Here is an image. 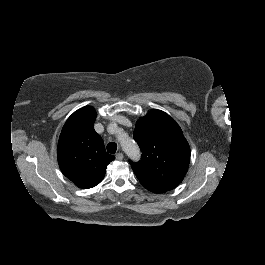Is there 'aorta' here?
I'll list each match as a JSON object with an SVG mask.
<instances>
[{
    "mask_svg": "<svg viewBox=\"0 0 265 265\" xmlns=\"http://www.w3.org/2000/svg\"><path fill=\"white\" fill-rule=\"evenodd\" d=\"M120 144L123 152L130 158L131 161L138 162L141 159V150L131 137H126L120 142Z\"/></svg>",
    "mask_w": 265,
    "mask_h": 265,
    "instance_id": "obj_1",
    "label": "aorta"
}]
</instances>
